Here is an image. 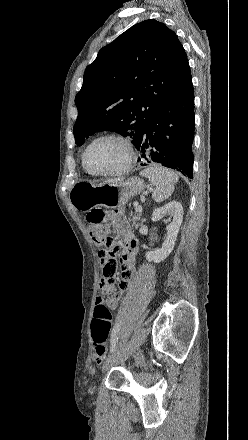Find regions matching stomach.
Returning <instances> with one entry per match:
<instances>
[{
  "mask_svg": "<svg viewBox=\"0 0 248 440\" xmlns=\"http://www.w3.org/2000/svg\"><path fill=\"white\" fill-rule=\"evenodd\" d=\"M144 182L138 177L126 181H113L100 185L77 182L69 192V200L77 210H89L97 206L117 208L144 190Z\"/></svg>",
  "mask_w": 248,
  "mask_h": 440,
  "instance_id": "obj_1",
  "label": "stomach"
}]
</instances>
